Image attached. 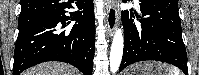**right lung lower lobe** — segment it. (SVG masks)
Here are the masks:
<instances>
[{
    "instance_id": "right-lung-lower-lobe-1",
    "label": "right lung lower lobe",
    "mask_w": 199,
    "mask_h": 75,
    "mask_svg": "<svg viewBox=\"0 0 199 75\" xmlns=\"http://www.w3.org/2000/svg\"><path fill=\"white\" fill-rule=\"evenodd\" d=\"M81 11L65 15L66 8ZM69 20L76 23L69 27ZM95 51L93 0H21L13 75L46 61H61L92 75Z\"/></svg>"
}]
</instances>
